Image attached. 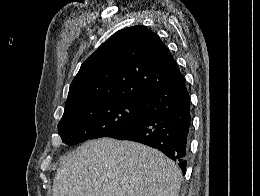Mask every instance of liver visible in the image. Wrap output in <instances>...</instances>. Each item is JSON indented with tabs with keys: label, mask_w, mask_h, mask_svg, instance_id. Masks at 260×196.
<instances>
[{
	"label": "liver",
	"mask_w": 260,
	"mask_h": 196,
	"mask_svg": "<svg viewBox=\"0 0 260 196\" xmlns=\"http://www.w3.org/2000/svg\"><path fill=\"white\" fill-rule=\"evenodd\" d=\"M181 176L159 150L99 138L69 154L55 174L53 196H178Z\"/></svg>",
	"instance_id": "obj_1"
}]
</instances>
